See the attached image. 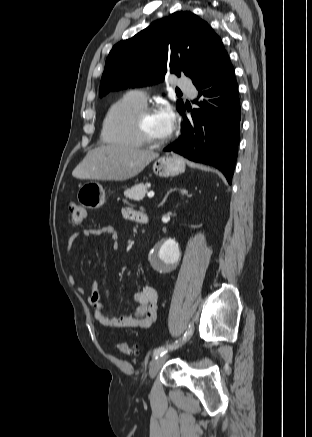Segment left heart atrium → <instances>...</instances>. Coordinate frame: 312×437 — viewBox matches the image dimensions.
<instances>
[{"label":"left heart atrium","mask_w":312,"mask_h":437,"mask_svg":"<svg viewBox=\"0 0 312 437\" xmlns=\"http://www.w3.org/2000/svg\"><path fill=\"white\" fill-rule=\"evenodd\" d=\"M157 116L162 124L163 130L169 135L173 131L176 120L173 110L170 107H166L157 112Z\"/></svg>","instance_id":"obj_1"}]
</instances>
